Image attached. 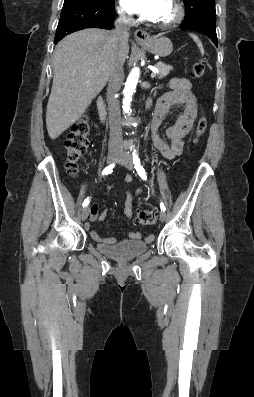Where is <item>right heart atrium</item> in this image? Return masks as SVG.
I'll return each mask as SVG.
<instances>
[{"mask_svg":"<svg viewBox=\"0 0 254 397\" xmlns=\"http://www.w3.org/2000/svg\"><path fill=\"white\" fill-rule=\"evenodd\" d=\"M118 13L122 20L131 21V17L125 12V10L122 7L118 8Z\"/></svg>","mask_w":254,"mask_h":397,"instance_id":"1","label":"right heart atrium"}]
</instances>
